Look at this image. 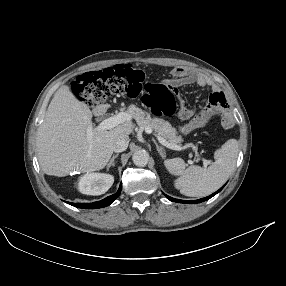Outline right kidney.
Returning a JSON list of instances; mask_svg holds the SVG:
<instances>
[{
    "instance_id": "1",
    "label": "right kidney",
    "mask_w": 286,
    "mask_h": 286,
    "mask_svg": "<svg viewBox=\"0 0 286 286\" xmlns=\"http://www.w3.org/2000/svg\"><path fill=\"white\" fill-rule=\"evenodd\" d=\"M114 182V177L104 173H89L82 176L78 183L81 193L87 195H101L108 191Z\"/></svg>"
}]
</instances>
